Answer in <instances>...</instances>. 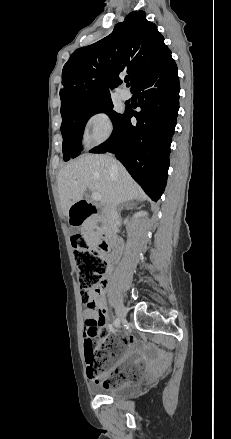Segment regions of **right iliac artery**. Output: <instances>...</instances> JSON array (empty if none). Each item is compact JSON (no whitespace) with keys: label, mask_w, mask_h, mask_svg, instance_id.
<instances>
[{"label":"right iliac artery","mask_w":231,"mask_h":439,"mask_svg":"<svg viewBox=\"0 0 231 439\" xmlns=\"http://www.w3.org/2000/svg\"><path fill=\"white\" fill-rule=\"evenodd\" d=\"M114 325H115L116 327H119V326H120V321H119L118 319H116V320L114 321Z\"/></svg>","instance_id":"82829eb1"}]
</instances>
